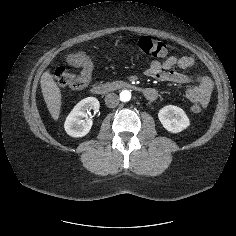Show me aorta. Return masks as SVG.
Here are the masks:
<instances>
[{"instance_id": "762f6f07", "label": "aorta", "mask_w": 236, "mask_h": 236, "mask_svg": "<svg viewBox=\"0 0 236 236\" xmlns=\"http://www.w3.org/2000/svg\"><path fill=\"white\" fill-rule=\"evenodd\" d=\"M131 99V92L128 90H123L120 93V100L123 102H128Z\"/></svg>"}]
</instances>
